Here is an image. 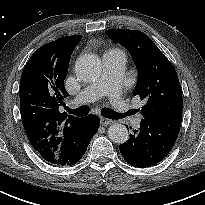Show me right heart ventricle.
Segmentation results:
<instances>
[{"instance_id": "obj_1", "label": "right heart ventricle", "mask_w": 205, "mask_h": 205, "mask_svg": "<svg viewBox=\"0 0 205 205\" xmlns=\"http://www.w3.org/2000/svg\"><path fill=\"white\" fill-rule=\"evenodd\" d=\"M112 51H119V50H111V51H109V52H112Z\"/></svg>"}]
</instances>
